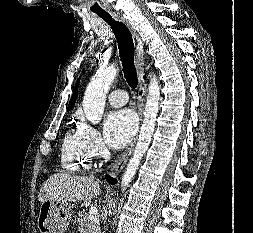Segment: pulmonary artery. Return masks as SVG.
Masks as SVG:
<instances>
[{"label": "pulmonary artery", "instance_id": "e3ab8cb5", "mask_svg": "<svg viewBox=\"0 0 253 233\" xmlns=\"http://www.w3.org/2000/svg\"><path fill=\"white\" fill-rule=\"evenodd\" d=\"M128 102V95L124 90H114L108 95V103L114 107H120Z\"/></svg>", "mask_w": 253, "mask_h": 233}]
</instances>
